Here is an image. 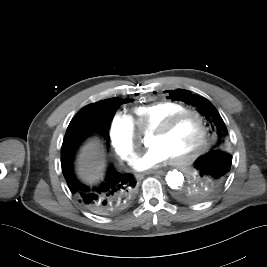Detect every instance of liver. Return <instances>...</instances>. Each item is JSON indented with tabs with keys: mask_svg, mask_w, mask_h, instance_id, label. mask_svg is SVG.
I'll return each instance as SVG.
<instances>
[{
	"mask_svg": "<svg viewBox=\"0 0 267 267\" xmlns=\"http://www.w3.org/2000/svg\"><path fill=\"white\" fill-rule=\"evenodd\" d=\"M103 150L98 141L88 142L78 160V173L84 180L93 182L99 179L104 168Z\"/></svg>",
	"mask_w": 267,
	"mask_h": 267,
	"instance_id": "1",
	"label": "liver"
}]
</instances>
